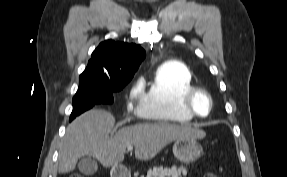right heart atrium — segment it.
<instances>
[{
	"label": "right heart atrium",
	"instance_id": "obj_1",
	"mask_svg": "<svg viewBox=\"0 0 287 177\" xmlns=\"http://www.w3.org/2000/svg\"><path fill=\"white\" fill-rule=\"evenodd\" d=\"M144 92V84L141 79L137 80L131 86L128 93V105L133 107L134 104L142 97Z\"/></svg>",
	"mask_w": 287,
	"mask_h": 177
}]
</instances>
